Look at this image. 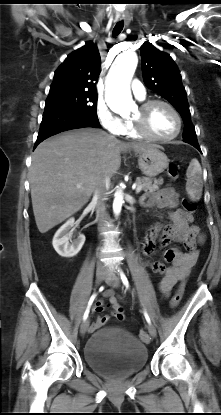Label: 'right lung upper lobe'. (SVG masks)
<instances>
[{
  "instance_id": "cb5924a9",
  "label": "right lung upper lobe",
  "mask_w": 221,
  "mask_h": 415,
  "mask_svg": "<svg viewBox=\"0 0 221 415\" xmlns=\"http://www.w3.org/2000/svg\"><path fill=\"white\" fill-rule=\"evenodd\" d=\"M100 64L98 48L93 42H86L83 47L69 54L58 67L49 93L67 90L96 91Z\"/></svg>"
}]
</instances>
